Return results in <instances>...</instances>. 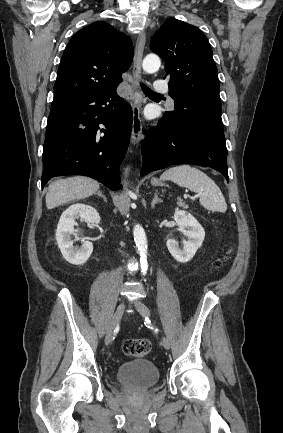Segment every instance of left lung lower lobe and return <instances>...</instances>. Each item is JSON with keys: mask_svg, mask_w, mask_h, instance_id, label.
<instances>
[{"mask_svg": "<svg viewBox=\"0 0 283 433\" xmlns=\"http://www.w3.org/2000/svg\"><path fill=\"white\" fill-rule=\"evenodd\" d=\"M141 175L176 164L211 167L228 181L224 131L200 119H173L163 115L142 144Z\"/></svg>", "mask_w": 283, "mask_h": 433, "instance_id": "left-lung-lower-lobe-1", "label": "left lung lower lobe"}]
</instances>
